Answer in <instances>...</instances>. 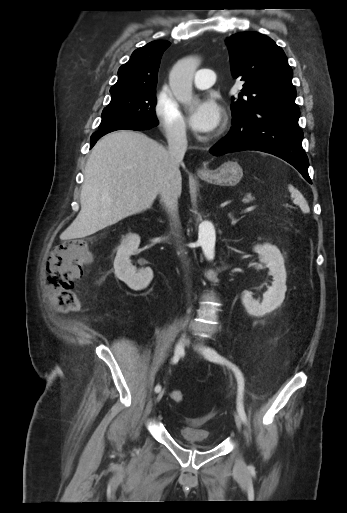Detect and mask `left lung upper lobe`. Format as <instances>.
<instances>
[{
    "label": "left lung upper lobe",
    "instance_id": "obj_1",
    "mask_svg": "<svg viewBox=\"0 0 347 513\" xmlns=\"http://www.w3.org/2000/svg\"><path fill=\"white\" fill-rule=\"evenodd\" d=\"M226 43L232 75L245 81L239 99L232 101L233 117L267 104L296 105L292 69L272 39L258 32H241L231 35Z\"/></svg>",
    "mask_w": 347,
    "mask_h": 513
}]
</instances>
